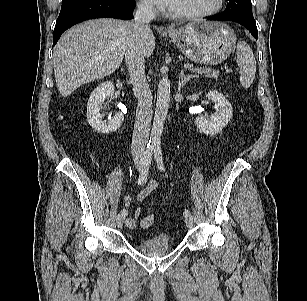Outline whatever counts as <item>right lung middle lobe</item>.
Masks as SVG:
<instances>
[{
	"instance_id": "right-lung-middle-lobe-1",
	"label": "right lung middle lobe",
	"mask_w": 307,
	"mask_h": 301,
	"mask_svg": "<svg viewBox=\"0 0 307 301\" xmlns=\"http://www.w3.org/2000/svg\"><path fill=\"white\" fill-rule=\"evenodd\" d=\"M73 1H76V0H62V4L73 2Z\"/></svg>"
}]
</instances>
